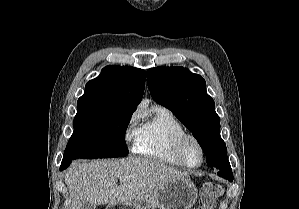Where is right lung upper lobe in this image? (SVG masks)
<instances>
[{
    "instance_id": "right-lung-upper-lobe-1",
    "label": "right lung upper lobe",
    "mask_w": 299,
    "mask_h": 209,
    "mask_svg": "<svg viewBox=\"0 0 299 209\" xmlns=\"http://www.w3.org/2000/svg\"><path fill=\"white\" fill-rule=\"evenodd\" d=\"M145 87V71L109 65L89 81L84 95L78 99L77 109H109L134 112L141 102Z\"/></svg>"
}]
</instances>
